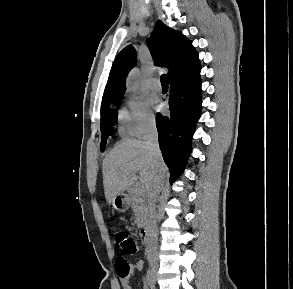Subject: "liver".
<instances>
[{"label": "liver", "mask_w": 293, "mask_h": 289, "mask_svg": "<svg viewBox=\"0 0 293 289\" xmlns=\"http://www.w3.org/2000/svg\"><path fill=\"white\" fill-rule=\"evenodd\" d=\"M159 168L166 173L163 159ZM103 185L108 203L134 184L148 192L156 174L154 156L145 141L127 139L116 145L103 159ZM138 180V181H137Z\"/></svg>", "instance_id": "liver-1"}]
</instances>
